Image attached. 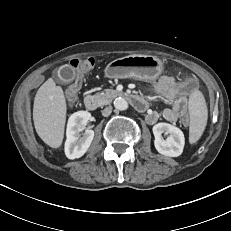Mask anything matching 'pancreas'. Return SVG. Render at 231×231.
Instances as JSON below:
<instances>
[{"label":"pancreas","instance_id":"obj_1","mask_svg":"<svg viewBox=\"0 0 231 231\" xmlns=\"http://www.w3.org/2000/svg\"><path fill=\"white\" fill-rule=\"evenodd\" d=\"M117 95V92L114 90H105L104 92L97 93L95 95L96 100L99 105H106L112 101V98Z\"/></svg>","mask_w":231,"mask_h":231}]
</instances>
